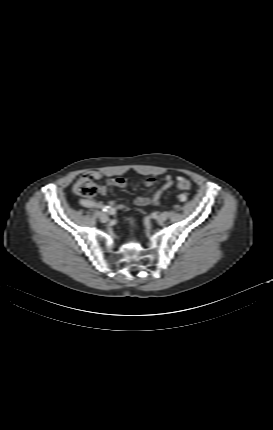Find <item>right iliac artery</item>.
Wrapping results in <instances>:
<instances>
[{"instance_id": "82829eb1", "label": "right iliac artery", "mask_w": 273, "mask_h": 430, "mask_svg": "<svg viewBox=\"0 0 273 430\" xmlns=\"http://www.w3.org/2000/svg\"><path fill=\"white\" fill-rule=\"evenodd\" d=\"M102 210L104 212H107V213L111 214V215H113V214L116 213V210L114 208L110 207V206H102Z\"/></svg>"}]
</instances>
